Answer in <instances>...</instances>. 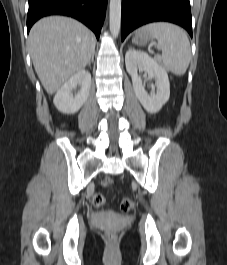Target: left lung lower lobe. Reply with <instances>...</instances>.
<instances>
[{
	"label": "left lung lower lobe",
	"mask_w": 227,
	"mask_h": 265,
	"mask_svg": "<svg viewBox=\"0 0 227 265\" xmlns=\"http://www.w3.org/2000/svg\"><path fill=\"white\" fill-rule=\"evenodd\" d=\"M155 21L178 24L192 37L189 0H122V41L132 30Z\"/></svg>",
	"instance_id": "obj_1"
}]
</instances>
